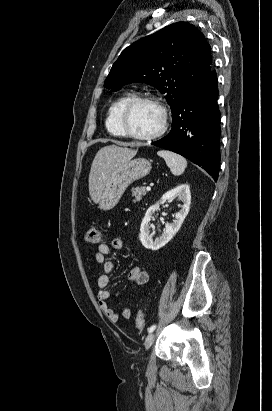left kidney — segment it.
I'll use <instances>...</instances> for the list:
<instances>
[{"mask_svg":"<svg viewBox=\"0 0 272 411\" xmlns=\"http://www.w3.org/2000/svg\"><path fill=\"white\" fill-rule=\"evenodd\" d=\"M174 197H178V199L183 202V205L179 212L176 213L175 220L170 224H166L163 234L153 240L152 234L150 233L149 222L151 221V218L155 211L158 209L159 204L165 203L167 200ZM190 203L191 194L188 184L179 185L176 188H173L163 194L160 202L148 208L142 220L140 227V241L142 245L145 248L151 250H158L161 247L165 246L180 229L184 219L189 212Z\"/></svg>","mask_w":272,"mask_h":411,"instance_id":"1","label":"left kidney"}]
</instances>
